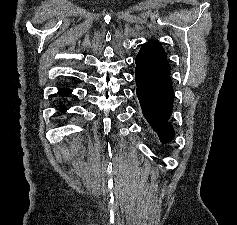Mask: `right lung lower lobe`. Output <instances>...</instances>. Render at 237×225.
Listing matches in <instances>:
<instances>
[{
    "label": "right lung lower lobe",
    "mask_w": 237,
    "mask_h": 225,
    "mask_svg": "<svg viewBox=\"0 0 237 225\" xmlns=\"http://www.w3.org/2000/svg\"><path fill=\"white\" fill-rule=\"evenodd\" d=\"M59 93L61 94V95H68V94H70L71 93V90L70 89H61L60 91H59ZM60 109H62V110H64V108L63 107H60Z\"/></svg>",
    "instance_id": "right-lung-lower-lobe-1"
}]
</instances>
